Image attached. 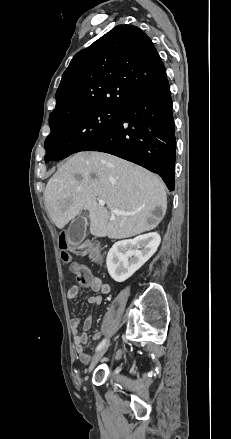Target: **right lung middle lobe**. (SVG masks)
<instances>
[{
	"instance_id": "obj_1",
	"label": "right lung middle lobe",
	"mask_w": 231,
	"mask_h": 439,
	"mask_svg": "<svg viewBox=\"0 0 231 439\" xmlns=\"http://www.w3.org/2000/svg\"><path fill=\"white\" fill-rule=\"evenodd\" d=\"M121 111L96 107L49 120L51 133L44 143L46 163L83 151L118 122Z\"/></svg>"
}]
</instances>
